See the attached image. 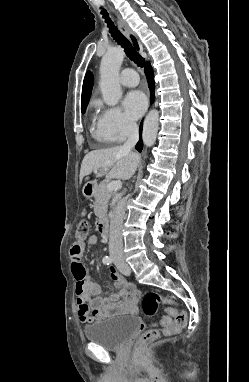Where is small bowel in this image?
Here are the masks:
<instances>
[{
  "label": "small bowel",
  "instance_id": "small-bowel-1",
  "mask_svg": "<svg viewBox=\"0 0 249 382\" xmlns=\"http://www.w3.org/2000/svg\"><path fill=\"white\" fill-rule=\"evenodd\" d=\"M96 242L97 237L91 235L83 242H74L70 248L71 270L76 280L77 313L83 324L106 319L114 314L134 312L137 304L138 293L135 285L128 282L115 269L110 271L112 285H109V288H117L119 291L107 297L101 294L100 286L89 277L81 260L85 248Z\"/></svg>",
  "mask_w": 249,
  "mask_h": 382
}]
</instances>
